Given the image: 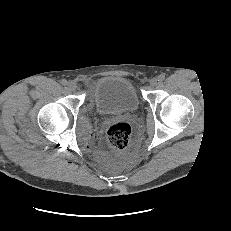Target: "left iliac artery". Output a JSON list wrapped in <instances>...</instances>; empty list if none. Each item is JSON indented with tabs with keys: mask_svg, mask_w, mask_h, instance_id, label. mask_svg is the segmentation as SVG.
Returning <instances> with one entry per match:
<instances>
[{
	"mask_svg": "<svg viewBox=\"0 0 231 231\" xmlns=\"http://www.w3.org/2000/svg\"><path fill=\"white\" fill-rule=\"evenodd\" d=\"M157 78H158V81H163L165 79V75L161 74Z\"/></svg>",
	"mask_w": 231,
	"mask_h": 231,
	"instance_id": "obj_1",
	"label": "left iliac artery"
}]
</instances>
